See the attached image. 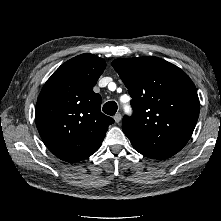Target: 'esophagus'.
Returning a JSON list of instances; mask_svg holds the SVG:
<instances>
[{
  "instance_id": "obj_1",
  "label": "esophagus",
  "mask_w": 221,
  "mask_h": 221,
  "mask_svg": "<svg viewBox=\"0 0 221 221\" xmlns=\"http://www.w3.org/2000/svg\"><path fill=\"white\" fill-rule=\"evenodd\" d=\"M114 120L116 123H119L121 121V114L120 113H117L115 116H114Z\"/></svg>"
}]
</instances>
